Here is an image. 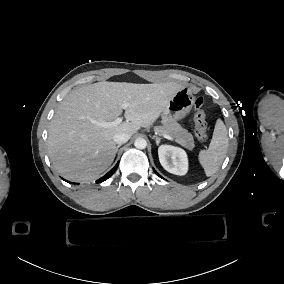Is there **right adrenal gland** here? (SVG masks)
<instances>
[{
  "label": "right adrenal gland",
  "instance_id": "2a0ac1e0",
  "mask_svg": "<svg viewBox=\"0 0 284 284\" xmlns=\"http://www.w3.org/2000/svg\"><path fill=\"white\" fill-rule=\"evenodd\" d=\"M120 147H121V144H119V145L116 147L115 154L118 152V150H119Z\"/></svg>",
  "mask_w": 284,
  "mask_h": 284
}]
</instances>
